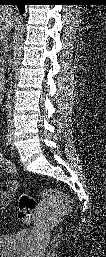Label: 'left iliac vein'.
Instances as JSON below:
<instances>
[{
	"instance_id": "4c4485c4",
	"label": "left iliac vein",
	"mask_w": 106,
	"mask_h": 257,
	"mask_svg": "<svg viewBox=\"0 0 106 257\" xmlns=\"http://www.w3.org/2000/svg\"><path fill=\"white\" fill-rule=\"evenodd\" d=\"M11 148L14 149V143H13L12 134H11Z\"/></svg>"
}]
</instances>
